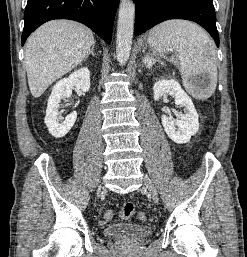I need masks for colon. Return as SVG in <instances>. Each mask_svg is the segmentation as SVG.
I'll list each match as a JSON object with an SVG mask.
<instances>
[{
	"label": "colon",
	"instance_id": "1",
	"mask_svg": "<svg viewBox=\"0 0 247 257\" xmlns=\"http://www.w3.org/2000/svg\"><path fill=\"white\" fill-rule=\"evenodd\" d=\"M134 212H135V204L131 201H127L121 207L120 217L123 219H129L133 216ZM113 216H114V213L112 210H106L103 214L104 219L107 221L112 220ZM139 218L144 220L145 219L144 213H140Z\"/></svg>",
	"mask_w": 247,
	"mask_h": 257
}]
</instances>
